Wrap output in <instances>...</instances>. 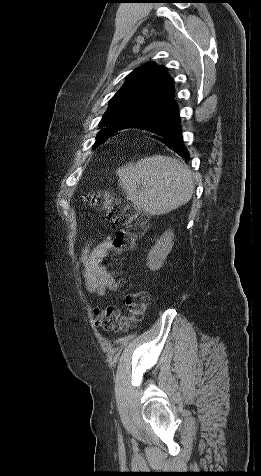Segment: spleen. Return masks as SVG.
I'll return each instance as SVG.
<instances>
[{"mask_svg": "<svg viewBox=\"0 0 261 476\" xmlns=\"http://www.w3.org/2000/svg\"><path fill=\"white\" fill-rule=\"evenodd\" d=\"M126 198L139 210L163 215L190 201L194 193L193 173L169 156L153 155L128 163L117 170Z\"/></svg>", "mask_w": 261, "mask_h": 476, "instance_id": "spleen-1", "label": "spleen"}]
</instances>
